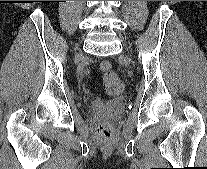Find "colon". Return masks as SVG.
Masks as SVG:
<instances>
[{"mask_svg": "<svg viewBox=\"0 0 207 169\" xmlns=\"http://www.w3.org/2000/svg\"><path fill=\"white\" fill-rule=\"evenodd\" d=\"M103 75V84L108 95L119 97L123 94L125 85L119 75L112 69L109 62L104 61L101 64ZM97 136L103 142H109L114 138L115 129L109 121L101 122L96 129Z\"/></svg>", "mask_w": 207, "mask_h": 169, "instance_id": "colon-1", "label": "colon"}]
</instances>
